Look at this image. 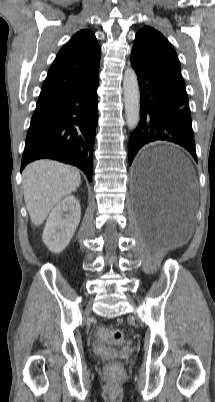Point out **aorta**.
Segmentation results:
<instances>
[{
  "label": "aorta",
  "mask_w": 215,
  "mask_h": 402,
  "mask_svg": "<svg viewBox=\"0 0 215 402\" xmlns=\"http://www.w3.org/2000/svg\"><path fill=\"white\" fill-rule=\"evenodd\" d=\"M123 91L127 126L133 130L140 121V91L137 75L133 69L125 71Z\"/></svg>",
  "instance_id": "1"
}]
</instances>
